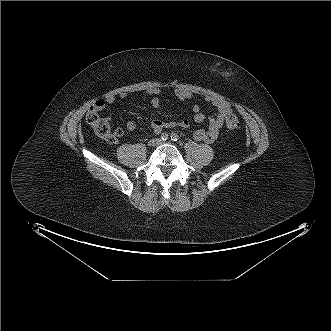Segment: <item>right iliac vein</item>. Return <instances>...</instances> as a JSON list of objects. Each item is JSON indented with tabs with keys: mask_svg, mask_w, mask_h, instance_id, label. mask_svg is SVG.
<instances>
[{
	"mask_svg": "<svg viewBox=\"0 0 331 331\" xmlns=\"http://www.w3.org/2000/svg\"><path fill=\"white\" fill-rule=\"evenodd\" d=\"M158 140L157 139H152L148 142V145L153 147V146H156L158 144Z\"/></svg>",
	"mask_w": 331,
	"mask_h": 331,
	"instance_id": "63e3f726",
	"label": "right iliac vein"
}]
</instances>
